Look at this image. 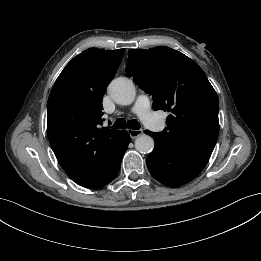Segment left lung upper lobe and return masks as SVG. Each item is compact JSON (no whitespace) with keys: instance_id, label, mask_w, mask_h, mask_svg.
Here are the masks:
<instances>
[{"instance_id":"1","label":"left lung upper lobe","mask_w":261,"mask_h":261,"mask_svg":"<svg viewBox=\"0 0 261 261\" xmlns=\"http://www.w3.org/2000/svg\"><path fill=\"white\" fill-rule=\"evenodd\" d=\"M126 70L152 95L155 110L170 113L167 128L158 136L180 148L213 151L219 133L218 97L192 59L165 46L131 49Z\"/></svg>"}]
</instances>
